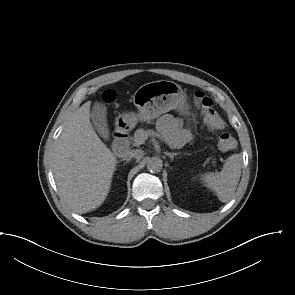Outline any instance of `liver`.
Masks as SVG:
<instances>
[{"mask_svg": "<svg viewBox=\"0 0 295 295\" xmlns=\"http://www.w3.org/2000/svg\"><path fill=\"white\" fill-rule=\"evenodd\" d=\"M90 106V101L84 103L70 117L55 144L52 160L59 194L79 214L103 204L117 163L91 125Z\"/></svg>", "mask_w": 295, "mask_h": 295, "instance_id": "obj_1", "label": "liver"}]
</instances>
